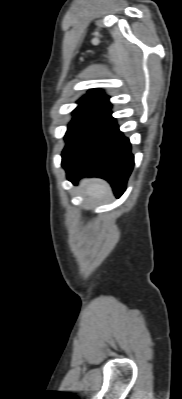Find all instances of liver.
<instances>
[{
  "label": "liver",
  "instance_id": "6515ba94",
  "mask_svg": "<svg viewBox=\"0 0 182 399\" xmlns=\"http://www.w3.org/2000/svg\"><path fill=\"white\" fill-rule=\"evenodd\" d=\"M85 192L94 199H101L110 194V188L103 181H90L85 184Z\"/></svg>",
  "mask_w": 182,
  "mask_h": 399
}]
</instances>
